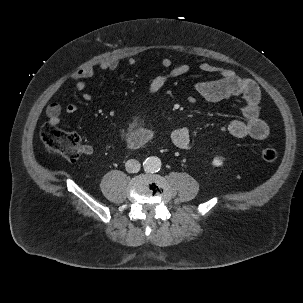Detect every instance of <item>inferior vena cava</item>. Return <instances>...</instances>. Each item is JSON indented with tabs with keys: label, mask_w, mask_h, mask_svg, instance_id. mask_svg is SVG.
Wrapping results in <instances>:
<instances>
[{
	"label": "inferior vena cava",
	"mask_w": 303,
	"mask_h": 303,
	"mask_svg": "<svg viewBox=\"0 0 303 303\" xmlns=\"http://www.w3.org/2000/svg\"><path fill=\"white\" fill-rule=\"evenodd\" d=\"M125 168L129 173H137L140 170V163L135 159H129L125 163Z\"/></svg>",
	"instance_id": "602c4592"
}]
</instances>
